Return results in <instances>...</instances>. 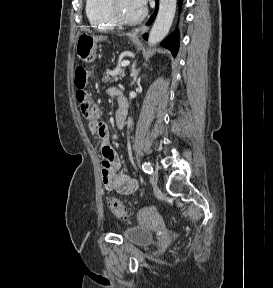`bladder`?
<instances>
[{
    "mask_svg": "<svg viewBox=\"0 0 273 288\" xmlns=\"http://www.w3.org/2000/svg\"><path fill=\"white\" fill-rule=\"evenodd\" d=\"M122 236L126 241L138 246L149 245L154 241V233L141 226H132L125 229Z\"/></svg>",
    "mask_w": 273,
    "mask_h": 288,
    "instance_id": "obj_1",
    "label": "bladder"
}]
</instances>
